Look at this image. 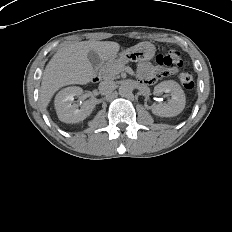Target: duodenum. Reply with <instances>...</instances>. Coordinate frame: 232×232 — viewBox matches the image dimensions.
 I'll list each match as a JSON object with an SVG mask.
<instances>
[{
  "instance_id": "duodenum-1",
  "label": "duodenum",
  "mask_w": 232,
  "mask_h": 232,
  "mask_svg": "<svg viewBox=\"0 0 232 232\" xmlns=\"http://www.w3.org/2000/svg\"><path fill=\"white\" fill-rule=\"evenodd\" d=\"M98 79H99V75H98V73H95V75H94V81H98Z\"/></svg>"
}]
</instances>
